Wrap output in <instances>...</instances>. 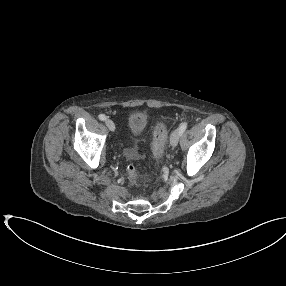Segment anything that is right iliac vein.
I'll return each instance as SVG.
<instances>
[{
    "instance_id": "63e3f726",
    "label": "right iliac vein",
    "mask_w": 286,
    "mask_h": 286,
    "mask_svg": "<svg viewBox=\"0 0 286 286\" xmlns=\"http://www.w3.org/2000/svg\"><path fill=\"white\" fill-rule=\"evenodd\" d=\"M105 123L110 131H115V124L111 119H106Z\"/></svg>"
}]
</instances>
